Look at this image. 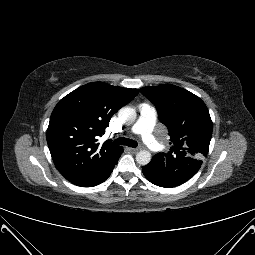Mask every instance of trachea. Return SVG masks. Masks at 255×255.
I'll return each instance as SVG.
<instances>
[{
  "label": "trachea",
  "instance_id": "1",
  "mask_svg": "<svg viewBox=\"0 0 255 255\" xmlns=\"http://www.w3.org/2000/svg\"><path fill=\"white\" fill-rule=\"evenodd\" d=\"M114 143L116 144H120V145H126V146H129V147H137V142L132 140V139H127V138H124V137H119L117 139L114 140Z\"/></svg>",
  "mask_w": 255,
  "mask_h": 255
}]
</instances>
